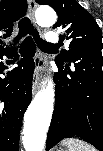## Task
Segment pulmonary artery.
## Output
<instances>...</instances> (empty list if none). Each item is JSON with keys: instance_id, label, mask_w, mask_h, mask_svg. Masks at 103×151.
I'll list each match as a JSON object with an SVG mask.
<instances>
[{"instance_id": "obj_1", "label": "pulmonary artery", "mask_w": 103, "mask_h": 151, "mask_svg": "<svg viewBox=\"0 0 103 151\" xmlns=\"http://www.w3.org/2000/svg\"><path fill=\"white\" fill-rule=\"evenodd\" d=\"M46 39L49 43L54 44V43L58 42L59 37L56 32L51 31L47 34Z\"/></svg>"}]
</instances>
